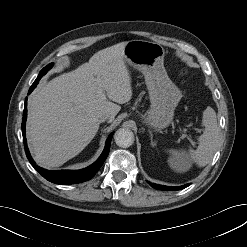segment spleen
Segmentation results:
<instances>
[{
    "label": "spleen",
    "instance_id": "3e777b00",
    "mask_svg": "<svg viewBox=\"0 0 247 247\" xmlns=\"http://www.w3.org/2000/svg\"><path fill=\"white\" fill-rule=\"evenodd\" d=\"M202 124L204 132L199 137V146L196 150L190 149L191 158L199 167H204L211 161L219 143L216 113L211 107H207L203 112ZM169 153L177 160L182 157L177 150H170Z\"/></svg>",
    "mask_w": 247,
    "mask_h": 247
}]
</instances>
